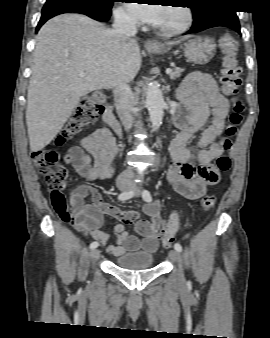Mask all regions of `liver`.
Returning <instances> with one entry per match:
<instances>
[{"label":"liver","mask_w":270,"mask_h":338,"mask_svg":"<svg viewBox=\"0 0 270 338\" xmlns=\"http://www.w3.org/2000/svg\"><path fill=\"white\" fill-rule=\"evenodd\" d=\"M141 63L135 39L117 38L84 15L50 19L38 32L33 52L26 109L31 151L56 137L83 96L132 81Z\"/></svg>","instance_id":"liver-1"}]
</instances>
